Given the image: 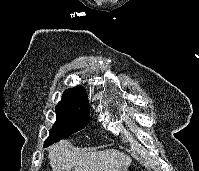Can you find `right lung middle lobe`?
<instances>
[{"instance_id": "1", "label": "right lung middle lobe", "mask_w": 199, "mask_h": 171, "mask_svg": "<svg viewBox=\"0 0 199 171\" xmlns=\"http://www.w3.org/2000/svg\"><path fill=\"white\" fill-rule=\"evenodd\" d=\"M89 108V103L70 104L60 102L56 106V122L50 129L49 137L44 142V146L53 144L87 126Z\"/></svg>"}]
</instances>
